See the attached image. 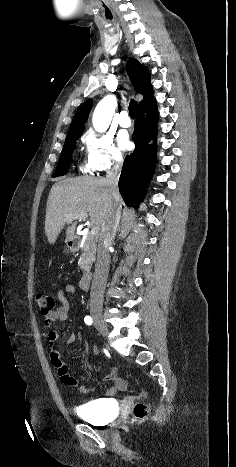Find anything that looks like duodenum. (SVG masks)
<instances>
[{"instance_id":"obj_1","label":"duodenum","mask_w":236,"mask_h":467,"mask_svg":"<svg viewBox=\"0 0 236 467\" xmlns=\"http://www.w3.org/2000/svg\"><path fill=\"white\" fill-rule=\"evenodd\" d=\"M68 244L72 251H77L80 246V241L79 239L74 238V239H71ZM91 283H92V273L89 271L83 273L80 278V288L83 291H88L91 287Z\"/></svg>"}]
</instances>
